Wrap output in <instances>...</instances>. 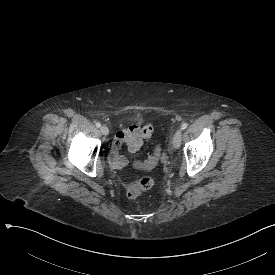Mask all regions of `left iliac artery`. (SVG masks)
<instances>
[{"label": "left iliac artery", "mask_w": 275, "mask_h": 275, "mask_svg": "<svg viewBox=\"0 0 275 275\" xmlns=\"http://www.w3.org/2000/svg\"><path fill=\"white\" fill-rule=\"evenodd\" d=\"M187 127H188L187 123H182V125H181V129L182 130H185Z\"/></svg>", "instance_id": "1"}]
</instances>
